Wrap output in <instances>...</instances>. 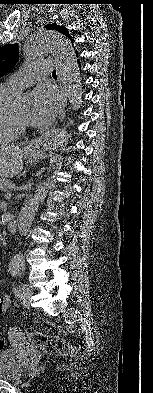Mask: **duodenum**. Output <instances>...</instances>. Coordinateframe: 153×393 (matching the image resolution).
Returning <instances> with one entry per match:
<instances>
[{
    "mask_svg": "<svg viewBox=\"0 0 153 393\" xmlns=\"http://www.w3.org/2000/svg\"><path fill=\"white\" fill-rule=\"evenodd\" d=\"M7 229L10 232H16L18 230V224L16 219H13L7 223Z\"/></svg>",
    "mask_w": 153,
    "mask_h": 393,
    "instance_id": "obj_1",
    "label": "duodenum"
}]
</instances>
